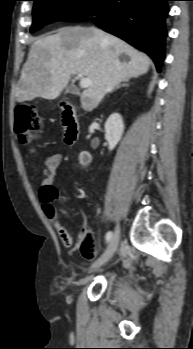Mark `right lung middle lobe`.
<instances>
[{"label":"right lung middle lobe","instance_id":"dd1d6c3e","mask_svg":"<svg viewBox=\"0 0 193 349\" xmlns=\"http://www.w3.org/2000/svg\"><path fill=\"white\" fill-rule=\"evenodd\" d=\"M33 24L35 32L54 21H77L90 15L100 0H33Z\"/></svg>","mask_w":193,"mask_h":349}]
</instances>
